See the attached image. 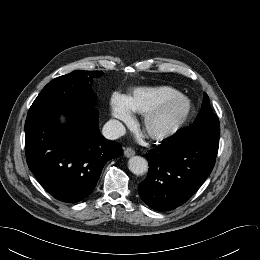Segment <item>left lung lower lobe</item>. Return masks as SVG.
Returning a JSON list of instances; mask_svg holds the SVG:
<instances>
[{
	"label": "left lung lower lobe",
	"mask_w": 260,
	"mask_h": 260,
	"mask_svg": "<svg viewBox=\"0 0 260 260\" xmlns=\"http://www.w3.org/2000/svg\"><path fill=\"white\" fill-rule=\"evenodd\" d=\"M219 141L172 136L146 154L149 172L139 184L141 199L168 211L184 204L210 175Z\"/></svg>",
	"instance_id": "left-lung-lower-lobe-1"
}]
</instances>
